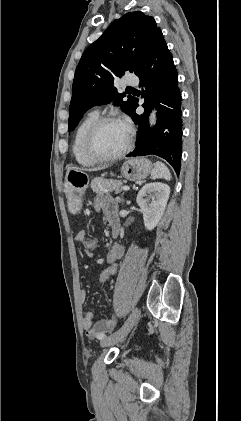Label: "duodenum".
<instances>
[{
    "mask_svg": "<svg viewBox=\"0 0 241 421\" xmlns=\"http://www.w3.org/2000/svg\"><path fill=\"white\" fill-rule=\"evenodd\" d=\"M109 223H110V225H111V227H112L113 231H114L115 233H117V232L119 231V219H118V217H117V216H112V217L109 219Z\"/></svg>",
    "mask_w": 241,
    "mask_h": 421,
    "instance_id": "duodenum-1",
    "label": "duodenum"
}]
</instances>
